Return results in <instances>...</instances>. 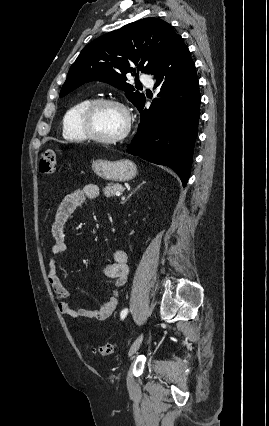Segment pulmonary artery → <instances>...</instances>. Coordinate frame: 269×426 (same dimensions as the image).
<instances>
[{
	"label": "pulmonary artery",
	"instance_id": "pulmonary-artery-1",
	"mask_svg": "<svg viewBox=\"0 0 269 426\" xmlns=\"http://www.w3.org/2000/svg\"><path fill=\"white\" fill-rule=\"evenodd\" d=\"M140 80L147 87H152L154 85L152 77L148 74H142Z\"/></svg>",
	"mask_w": 269,
	"mask_h": 426
}]
</instances>
